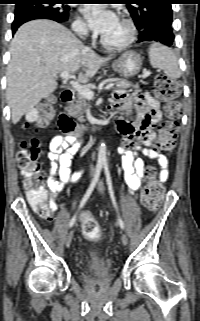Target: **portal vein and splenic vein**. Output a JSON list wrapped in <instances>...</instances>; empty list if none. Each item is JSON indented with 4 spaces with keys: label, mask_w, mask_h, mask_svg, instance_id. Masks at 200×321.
<instances>
[{
    "label": "portal vein and splenic vein",
    "mask_w": 200,
    "mask_h": 321,
    "mask_svg": "<svg viewBox=\"0 0 200 321\" xmlns=\"http://www.w3.org/2000/svg\"><path fill=\"white\" fill-rule=\"evenodd\" d=\"M151 74L150 71H147L145 70L143 75H142V78H146L148 77L149 75ZM60 76L63 78V79H66V80H69L70 79V74L69 72H62L60 74ZM70 84L71 86L82 96H84L85 98L87 99H92L94 97V92L91 91L89 88L79 84L78 82L74 81V80H71L70 81ZM114 86V84H108L107 86H105V89L106 90H109L111 89L112 87Z\"/></svg>",
    "instance_id": "portal-vein-and-splenic-vein-1"
}]
</instances>
